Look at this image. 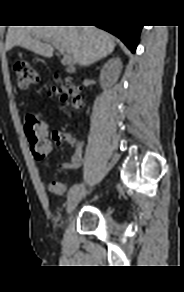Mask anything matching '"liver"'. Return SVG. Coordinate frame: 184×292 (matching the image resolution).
<instances>
[{
    "mask_svg": "<svg viewBox=\"0 0 184 292\" xmlns=\"http://www.w3.org/2000/svg\"><path fill=\"white\" fill-rule=\"evenodd\" d=\"M41 40L59 43L71 61L84 66L106 57L115 48L111 35L95 26H12L8 29L6 49L19 45L52 57L53 47Z\"/></svg>",
    "mask_w": 184,
    "mask_h": 292,
    "instance_id": "6515ba94",
    "label": "liver"
}]
</instances>
